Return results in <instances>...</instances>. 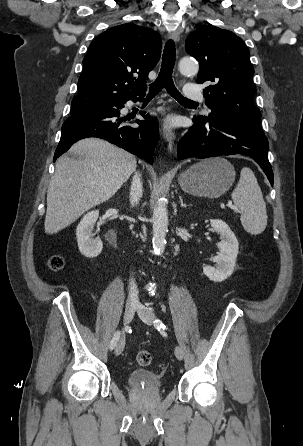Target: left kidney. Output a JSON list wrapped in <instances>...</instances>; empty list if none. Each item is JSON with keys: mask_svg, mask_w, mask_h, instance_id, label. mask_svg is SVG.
I'll list each match as a JSON object with an SVG mask.
<instances>
[{"mask_svg": "<svg viewBox=\"0 0 303 446\" xmlns=\"http://www.w3.org/2000/svg\"><path fill=\"white\" fill-rule=\"evenodd\" d=\"M210 224L220 234L221 242L218 243L220 252L211 259L217 265L205 266L203 272L210 280L222 282L234 271L239 244L236 236L225 222L219 219H211Z\"/></svg>", "mask_w": 303, "mask_h": 446, "instance_id": "left-kidney-1", "label": "left kidney"}]
</instances>
